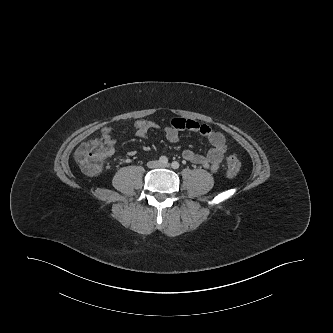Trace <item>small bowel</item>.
<instances>
[{"instance_id":"1","label":"small bowel","mask_w":333,"mask_h":333,"mask_svg":"<svg viewBox=\"0 0 333 333\" xmlns=\"http://www.w3.org/2000/svg\"><path fill=\"white\" fill-rule=\"evenodd\" d=\"M133 128L137 137L147 138L149 132L153 129H159V126L151 121L139 120L134 124ZM182 130L199 133L206 137L211 144V148L206 154L201 155L192 150H185L183 158L188 162L200 164L211 171H216L223 162L227 150V143L223 134L212 130L205 124L183 118H174L171 124L166 126L163 131L168 141L176 143L179 140V132ZM100 136L110 148L115 145L110 127L102 128ZM130 155H133V153H130Z\"/></svg>"}]
</instances>
